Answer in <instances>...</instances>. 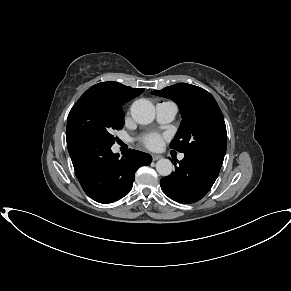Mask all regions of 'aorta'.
<instances>
[{
    "label": "aorta",
    "mask_w": 291,
    "mask_h": 291,
    "mask_svg": "<svg viewBox=\"0 0 291 291\" xmlns=\"http://www.w3.org/2000/svg\"><path fill=\"white\" fill-rule=\"evenodd\" d=\"M131 116L139 124H150L155 118V107L147 99H138L131 105ZM156 171L162 176H168L173 171V164L169 159H160L156 163Z\"/></svg>",
    "instance_id": "762f6f07"
}]
</instances>
